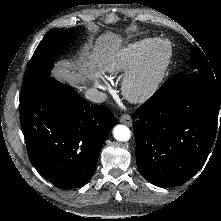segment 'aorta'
I'll return each mask as SVG.
<instances>
[{"mask_svg":"<svg viewBox=\"0 0 221 221\" xmlns=\"http://www.w3.org/2000/svg\"><path fill=\"white\" fill-rule=\"evenodd\" d=\"M113 135L118 141H128L131 136L129 128L125 125H117L113 130Z\"/></svg>","mask_w":221,"mask_h":221,"instance_id":"1","label":"aorta"}]
</instances>
